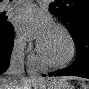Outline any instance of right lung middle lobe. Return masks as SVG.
I'll return each mask as SVG.
<instances>
[{
  "label": "right lung middle lobe",
  "instance_id": "right-lung-middle-lobe-1",
  "mask_svg": "<svg viewBox=\"0 0 89 89\" xmlns=\"http://www.w3.org/2000/svg\"><path fill=\"white\" fill-rule=\"evenodd\" d=\"M8 24H10V22L6 21V19H0V29L5 28Z\"/></svg>",
  "mask_w": 89,
  "mask_h": 89
}]
</instances>
